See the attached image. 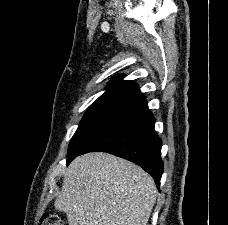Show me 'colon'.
<instances>
[{
    "mask_svg": "<svg viewBox=\"0 0 228 225\" xmlns=\"http://www.w3.org/2000/svg\"><path fill=\"white\" fill-rule=\"evenodd\" d=\"M42 225H65V222L55 213H47L42 218Z\"/></svg>",
    "mask_w": 228,
    "mask_h": 225,
    "instance_id": "colon-1",
    "label": "colon"
}]
</instances>
